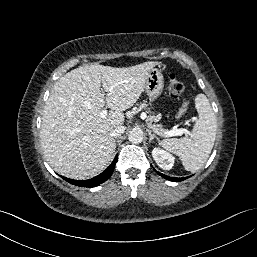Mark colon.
<instances>
[{
    "mask_svg": "<svg viewBox=\"0 0 257 257\" xmlns=\"http://www.w3.org/2000/svg\"><path fill=\"white\" fill-rule=\"evenodd\" d=\"M167 88L169 96L173 99L180 98L186 91L185 84L177 77L175 73H171L169 75ZM187 109L188 103L184 102L178 110V117H183L187 113Z\"/></svg>",
    "mask_w": 257,
    "mask_h": 257,
    "instance_id": "1",
    "label": "colon"
}]
</instances>
